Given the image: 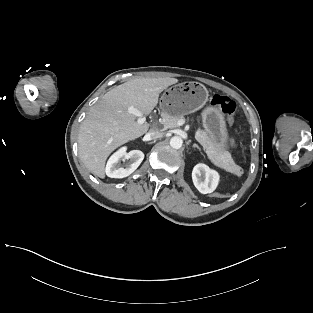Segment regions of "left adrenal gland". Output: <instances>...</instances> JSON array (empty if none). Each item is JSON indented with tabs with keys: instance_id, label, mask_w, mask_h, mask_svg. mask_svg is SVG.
Segmentation results:
<instances>
[{
	"instance_id": "a2214340",
	"label": "left adrenal gland",
	"mask_w": 313,
	"mask_h": 313,
	"mask_svg": "<svg viewBox=\"0 0 313 313\" xmlns=\"http://www.w3.org/2000/svg\"><path fill=\"white\" fill-rule=\"evenodd\" d=\"M192 147L197 148L200 151V147L197 144H193Z\"/></svg>"
}]
</instances>
